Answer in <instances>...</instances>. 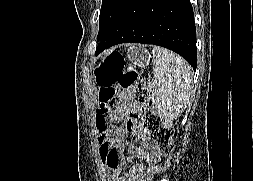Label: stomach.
<instances>
[{"label": "stomach", "mask_w": 253, "mask_h": 181, "mask_svg": "<svg viewBox=\"0 0 253 181\" xmlns=\"http://www.w3.org/2000/svg\"><path fill=\"white\" fill-rule=\"evenodd\" d=\"M128 59L133 63L134 66L144 68L149 65L150 55L141 46H130L127 52Z\"/></svg>", "instance_id": "obj_1"}]
</instances>
